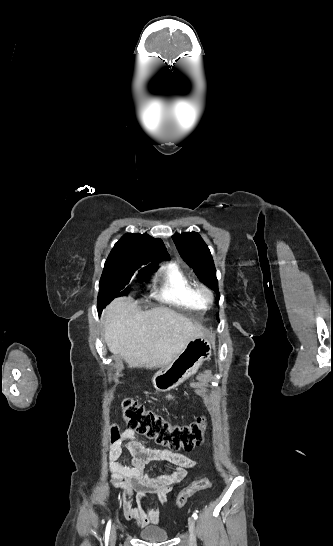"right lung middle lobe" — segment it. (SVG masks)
I'll return each mask as SVG.
<instances>
[{
  "instance_id": "dd1d6c3e",
  "label": "right lung middle lobe",
  "mask_w": 333,
  "mask_h": 546,
  "mask_svg": "<svg viewBox=\"0 0 333 546\" xmlns=\"http://www.w3.org/2000/svg\"><path fill=\"white\" fill-rule=\"evenodd\" d=\"M135 271L127 270L126 266L118 261L106 260L99 283L98 308L100 311L115 297L127 295V284L134 276Z\"/></svg>"
}]
</instances>
